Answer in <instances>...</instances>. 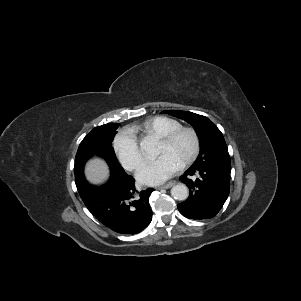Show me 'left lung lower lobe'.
I'll return each mask as SVG.
<instances>
[{
    "mask_svg": "<svg viewBox=\"0 0 301 301\" xmlns=\"http://www.w3.org/2000/svg\"><path fill=\"white\" fill-rule=\"evenodd\" d=\"M231 169L216 166H191L180 177L190 190L188 199L178 204L189 219H209L223 207L230 190Z\"/></svg>",
    "mask_w": 301,
    "mask_h": 301,
    "instance_id": "1",
    "label": "left lung lower lobe"
}]
</instances>
